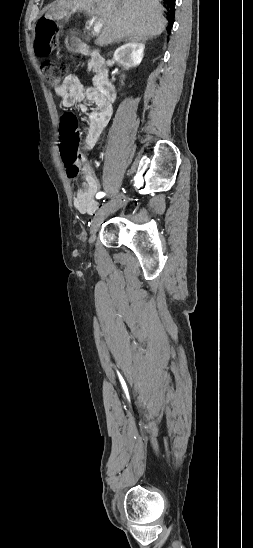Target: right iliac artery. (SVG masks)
Masks as SVG:
<instances>
[{
    "label": "right iliac artery",
    "mask_w": 253,
    "mask_h": 548,
    "mask_svg": "<svg viewBox=\"0 0 253 548\" xmlns=\"http://www.w3.org/2000/svg\"><path fill=\"white\" fill-rule=\"evenodd\" d=\"M104 196H105V193H104V192H99V193L96 195V198H97V199H100V198H102V197H104Z\"/></svg>",
    "instance_id": "right-iliac-artery-1"
}]
</instances>
